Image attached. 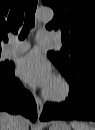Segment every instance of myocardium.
<instances>
[{
  "label": "myocardium",
  "instance_id": "1",
  "mask_svg": "<svg viewBox=\"0 0 95 130\" xmlns=\"http://www.w3.org/2000/svg\"><path fill=\"white\" fill-rule=\"evenodd\" d=\"M52 81L59 84L60 91L58 93H51L48 87H45L43 90L44 98L54 102H61L66 100L69 97L71 91L69 82L61 75L53 76Z\"/></svg>",
  "mask_w": 95,
  "mask_h": 130
}]
</instances>
